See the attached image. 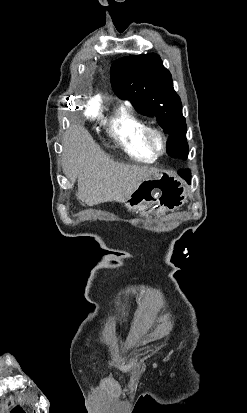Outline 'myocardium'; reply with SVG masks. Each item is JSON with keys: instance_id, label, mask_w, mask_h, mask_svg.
I'll return each mask as SVG.
<instances>
[{"instance_id": "1", "label": "myocardium", "mask_w": 247, "mask_h": 413, "mask_svg": "<svg viewBox=\"0 0 247 413\" xmlns=\"http://www.w3.org/2000/svg\"><path fill=\"white\" fill-rule=\"evenodd\" d=\"M154 134L157 135L160 139V147L154 146L150 142V135ZM140 141L143 145V147L151 154L155 156H162L166 152L167 148V139L165 134L163 133L162 130L153 127V126H144L141 130L140 133Z\"/></svg>"}]
</instances>
